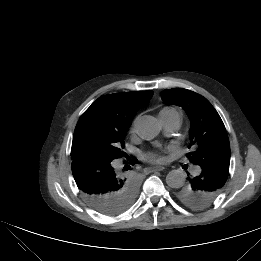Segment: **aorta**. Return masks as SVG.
I'll return each instance as SVG.
<instances>
[{
    "label": "aorta",
    "mask_w": 261,
    "mask_h": 261,
    "mask_svg": "<svg viewBox=\"0 0 261 261\" xmlns=\"http://www.w3.org/2000/svg\"><path fill=\"white\" fill-rule=\"evenodd\" d=\"M136 129L141 138L150 140L156 137L161 125L153 116H143L139 119ZM185 175L181 170H172L166 176V183L171 188H180L184 185Z\"/></svg>",
    "instance_id": "1"
}]
</instances>
